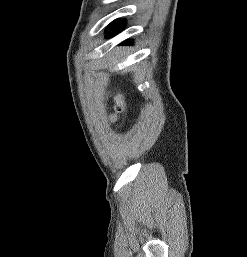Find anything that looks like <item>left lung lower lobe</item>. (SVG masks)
<instances>
[{"label":"left lung lower lobe","mask_w":247,"mask_h":257,"mask_svg":"<svg viewBox=\"0 0 247 257\" xmlns=\"http://www.w3.org/2000/svg\"><path fill=\"white\" fill-rule=\"evenodd\" d=\"M125 26V21L124 20H115L112 23H110L106 29V34H107V38L113 37L115 34L119 33L123 27ZM132 41L127 40L124 43H122L121 45H131Z\"/></svg>","instance_id":"1"}]
</instances>
